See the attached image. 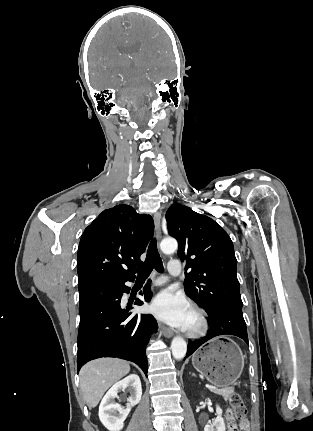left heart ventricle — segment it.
<instances>
[{"mask_svg": "<svg viewBox=\"0 0 313 431\" xmlns=\"http://www.w3.org/2000/svg\"><path fill=\"white\" fill-rule=\"evenodd\" d=\"M195 325H196V318H195L194 314L191 312L190 321H189V328L194 327Z\"/></svg>", "mask_w": 313, "mask_h": 431, "instance_id": "b2bd125f", "label": "left heart ventricle"}]
</instances>
